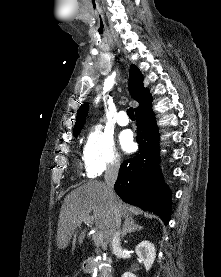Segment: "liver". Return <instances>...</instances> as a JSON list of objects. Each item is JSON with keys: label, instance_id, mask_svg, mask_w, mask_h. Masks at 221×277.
I'll use <instances>...</instances> for the list:
<instances>
[{"label": "liver", "instance_id": "6515ba94", "mask_svg": "<svg viewBox=\"0 0 221 277\" xmlns=\"http://www.w3.org/2000/svg\"><path fill=\"white\" fill-rule=\"evenodd\" d=\"M105 183L99 181H90L73 190L66 196L59 214L58 230H57V247L65 249L74 230L78 225V221L90 216L93 218L96 230L103 233L106 242H110V209L108 199L105 196ZM113 201L116 204L120 217H124L127 222H134L130 215L132 208L123 204L114 194ZM86 235V229L81 231L78 237L79 244L83 243Z\"/></svg>", "mask_w": 221, "mask_h": 277}]
</instances>
